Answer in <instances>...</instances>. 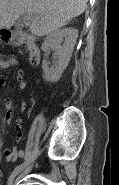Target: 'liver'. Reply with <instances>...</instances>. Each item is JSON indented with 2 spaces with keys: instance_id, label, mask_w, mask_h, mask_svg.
Wrapping results in <instances>:
<instances>
[{
  "instance_id": "obj_1",
  "label": "liver",
  "mask_w": 119,
  "mask_h": 185,
  "mask_svg": "<svg viewBox=\"0 0 119 185\" xmlns=\"http://www.w3.org/2000/svg\"><path fill=\"white\" fill-rule=\"evenodd\" d=\"M87 0H0V30L10 29L23 14L34 15L32 34L42 37L81 15Z\"/></svg>"
}]
</instances>
